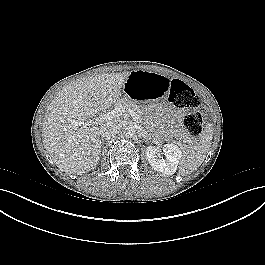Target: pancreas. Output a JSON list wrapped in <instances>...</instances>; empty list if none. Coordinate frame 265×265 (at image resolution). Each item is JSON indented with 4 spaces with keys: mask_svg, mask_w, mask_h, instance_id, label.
I'll use <instances>...</instances> for the list:
<instances>
[{
    "mask_svg": "<svg viewBox=\"0 0 265 265\" xmlns=\"http://www.w3.org/2000/svg\"><path fill=\"white\" fill-rule=\"evenodd\" d=\"M115 107H118V106H122L123 108L125 109H128L130 108L131 110H133L136 115L141 119L142 116H143V110L133 101L131 100L130 98L128 97H124V98H121V99H118L115 104H114Z\"/></svg>",
    "mask_w": 265,
    "mask_h": 265,
    "instance_id": "1",
    "label": "pancreas"
}]
</instances>
